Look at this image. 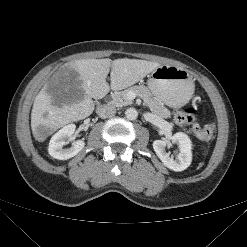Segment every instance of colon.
<instances>
[{
    "label": "colon",
    "mask_w": 247,
    "mask_h": 247,
    "mask_svg": "<svg viewBox=\"0 0 247 247\" xmlns=\"http://www.w3.org/2000/svg\"><path fill=\"white\" fill-rule=\"evenodd\" d=\"M198 111L196 108L190 107L178 111L175 114V121L181 125H191L193 133L202 140H211L215 134V127L212 124L199 125L196 123Z\"/></svg>",
    "instance_id": "5ec220e1"
}]
</instances>
